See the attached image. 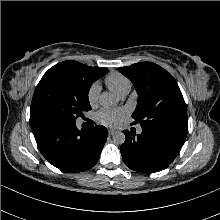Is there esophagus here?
<instances>
[{"mask_svg":"<svg viewBox=\"0 0 220 220\" xmlns=\"http://www.w3.org/2000/svg\"><path fill=\"white\" fill-rule=\"evenodd\" d=\"M115 132H116V130H114V129H109L108 130L109 135H113Z\"/></svg>","mask_w":220,"mask_h":220,"instance_id":"esophagus-1","label":"esophagus"}]
</instances>
